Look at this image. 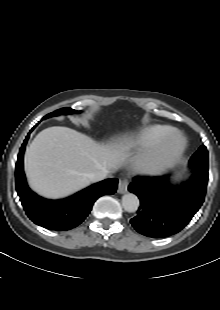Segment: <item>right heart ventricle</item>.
<instances>
[{
    "mask_svg": "<svg viewBox=\"0 0 220 310\" xmlns=\"http://www.w3.org/2000/svg\"><path fill=\"white\" fill-rule=\"evenodd\" d=\"M173 130V128L165 125H150L130 137L127 143L130 146L141 147L145 150L150 149Z\"/></svg>",
    "mask_w": 220,
    "mask_h": 310,
    "instance_id": "1",
    "label": "right heart ventricle"
}]
</instances>
